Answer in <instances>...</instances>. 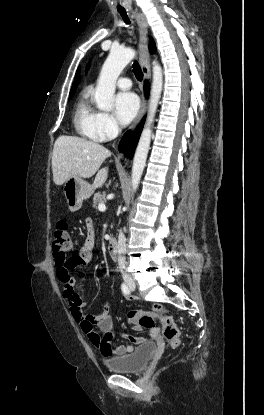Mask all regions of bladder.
<instances>
[{"label":"bladder","instance_id":"obj_1","mask_svg":"<svg viewBox=\"0 0 264 415\" xmlns=\"http://www.w3.org/2000/svg\"><path fill=\"white\" fill-rule=\"evenodd\" d=\"M156 343L148 342L134 349L130 354L107 359L104 365L111 372L116 373H135L142 371L148 364L151 357L156 352Z\"/></svg>","mask_w":264,"mask_h":415}]
</instances>
